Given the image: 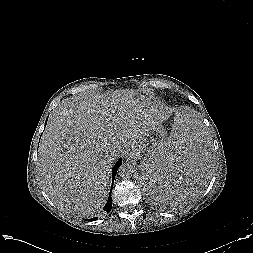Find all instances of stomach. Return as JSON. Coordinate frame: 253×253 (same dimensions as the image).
Returning a JSON list of instances; mask_svg holds the SVG:
<instances>
[{"instance_id":"0dacf381","label":"stomach","mask_w":253,"mask_h":253,"mask_svg":"<svg viewBox=\"0 0 253 253\" xmlns=\"http://www.w3.org/2000/svg\"><path fill=\"white\" fill-rule=\"evenodd\" d=\"M166 137V131L162 125L151 129L143 139L132 144L131 154L141 160L139 174L143 165L151 160L159 148L160 143Z\"/></svg>"}]
</instances>
